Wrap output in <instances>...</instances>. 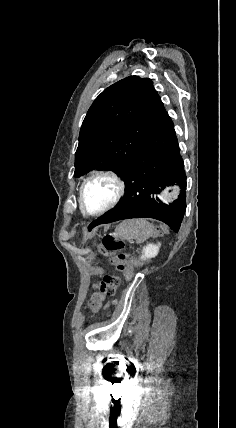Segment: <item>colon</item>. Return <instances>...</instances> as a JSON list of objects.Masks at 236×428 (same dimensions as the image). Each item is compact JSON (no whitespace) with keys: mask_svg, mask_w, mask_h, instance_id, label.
Segmentation results:
<instances>
[{"mask_svg":"<svg viewBox=\"0 0 236 428\" xmlns=\"http://www.w3.org/2000/svg\"><path fill=\"white\" fill-rule=\"evenodd\" d=\"M124 242L114 235H105L98 244L99 250L106 256L111 257V263L116 267L117 271L123 274L124 280L128 281L132 278V269L128 265L126 257L120 253L124 248ZM121 283V278L113 273L105 274L98 280L94 287L97 295L92 299L91 305L96 308L99 304V296H111Z\"/></svg>","mask_w":236,"mask_h":428,"instance_id":"5ec220e1","label":"colon"}]
</instances>
